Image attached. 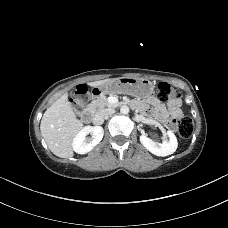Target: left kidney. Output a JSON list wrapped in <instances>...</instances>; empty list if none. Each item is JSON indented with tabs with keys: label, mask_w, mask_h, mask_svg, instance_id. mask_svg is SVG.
Here are the masks:
<instances>
[{
	"label": "left kidney",
	"mask_w": 228,
	"mask_h": 228,
	"mask_svg": "<svg viewBox=\"0 0 228 228\" xmlns=\"http://www.w3.org/2000/svg\"><path fill=\"white\" fill-rule=\"evenodd\" d=\"M168 141L163 143L154 142L146 134L140 136L141 144L152 154L156 156H168L173 154L178 146L177 138L172 131H167Z\"/></svg>",
	"instance_id": "5707ae66"
}]
</instances>
